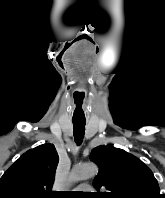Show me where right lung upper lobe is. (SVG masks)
<instances>
[{
    "label": "right lung upper lobe",
    "mask_w": 165,
    "mask_h": 198,
    "mask_svg": "<svg viewBox=\"0 0 165 198\" xmlns=\"http://www.w3.org/2000/svg\"><path fill=\"white\" fill-rule=\"evenodd\" d=\"M58 161L53 144L27 151L1 177L0 198H51Z\"/></svg>",
    "instance_id": "cb5924a9"
}]
</instances>
